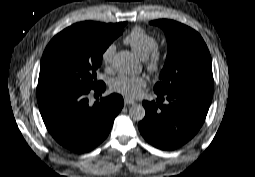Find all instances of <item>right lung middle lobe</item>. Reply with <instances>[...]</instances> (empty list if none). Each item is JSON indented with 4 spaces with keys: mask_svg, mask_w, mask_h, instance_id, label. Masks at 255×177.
<instances>
[{
    "mask_svg": "<svg viewBox=\"0 0 255 177\" xmlns=\"http://www.w3.org/2000/svg\"><path fill=\"white\" fill-rule=\"evenodd\" d=\"M126 22L114 31L74 24L58 33L46 47L40 66L38 90L49 87L92 89L96 70L108 46L122 34Z\"/></svg>",
    "mask_w": 255,
    "mask_h": 177,
    "instance_id": "obj_1",
    "label": "right lung middle lobe"
}]
</instances>
